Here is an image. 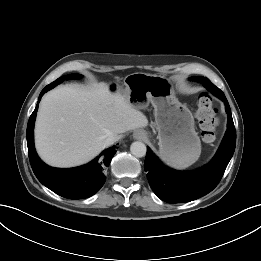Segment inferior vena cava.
Listing matches in <instances>:
<instances>
[{"mask_svg":"<svg viewBox=\"0 0 261 261\" xmlns=\"http://www.w3.org/2000/svg\"><path fill=\"white\" fill-rule=\"evenodd\" d=\"M117 140H118V137L115 136V135L108 136V137L104 140V146H105V147L111 146V145H113Z\"/></svg>","mask_w":261,"mask_h":261,"instance_id":"602c4592","label":"inferior vena cava"}]
</instances>
